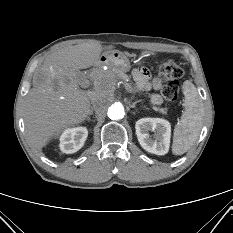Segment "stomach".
Wrapping results in <instances>:
<instances>
[{
	"label": "stomach",
	"mask_w": 233,
	"mask_h": 233,
	"mask_svg": "<svg viewBox=\"0 0 233 233\" xmlns=\"http://www.w3.org/2000/svg\"><path fill=\"white\" fill-rule=\"evenodd\" d=\"M99 61L101 64L108 65L111 68L127 72L130 70V61L128 56L118 50L106 52L100 58Z\"/></svg>",
	"instance_id": "0dacf381"
}]
</instances>
